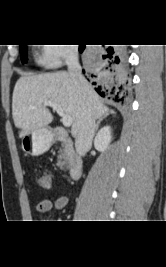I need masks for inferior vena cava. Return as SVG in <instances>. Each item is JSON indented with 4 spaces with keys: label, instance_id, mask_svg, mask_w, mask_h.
I'll list each match as a JSON object with an SVG mask.
<instances>
[{
    "label": "inferior vena cava",
    "instance_id": "1",
    "mask_svg": "<svg viewBox=\"0 0 166 267\" xmlns=\"http://www.w3.org/2000/svg\"><path fill=\"white\" fill-rule=\"evenodd\" d=\"M68 74L74 84L82 90L84 94V104L80 127L76 135L75 147L79 155L84 156L86 151L91 147L95 135V118L92 113L90 87L82 76L81 66L78 60V50L73 48L66 56Z\"/></svg>",
    "mask_w": 166,
    "mask_h": 267
}]
</instances>
